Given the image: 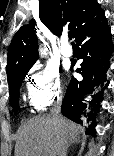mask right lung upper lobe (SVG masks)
<instances>
[{"instance_id": "cb5924a9", "label": "right lung upper lobe", "mask_w": 114, "mask_h": 156, "mask_svg": "<svg viewBox=\"0 0 114 156\" xmlns=\"http://www.w3.org/2000/svg\"><path fill=\"white\" fill-rule=\"evenodd\" d=\"M39 5V17L53 34L59 35L64 27H68L74 38L101 9L96 0H39ZM34 25L32 20L13 37L8 50V83L13 77L28 72L38 59Z\"/></svg>"}]
</instances>
